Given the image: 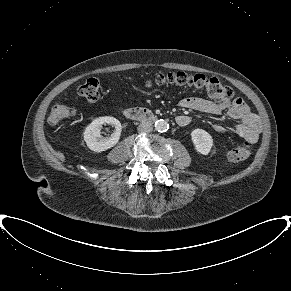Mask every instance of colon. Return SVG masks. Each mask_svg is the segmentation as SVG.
<instances>
[{"mask_svg": "<svg viewBox=\"0 0 291 291\" xmlns=\"http://www.w3.org/2000/svg\"><path fill=\"white\" fill-rule=\"evenodd\" d=\"M148 88L153 87H177L182 89L204 90L210 98L217 102L230 101L234 92L231 87L225 85L216 77H208L203 74L190 75L184 72H165L158 74L154 79L146 82ZM77 94L88 101H96L100 96V81L97 78H88L77 88ZM74 111L65 105H56L50 113V121L59 123L72 117ZM251 154L249 143L239 142L228 152V158L232 162L246 160Z\"/></svg>", "mask_w": 291, "mask_h": 291, "instance_id": "obj_1", "label": "colon"}]
</instances>
